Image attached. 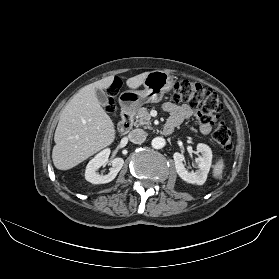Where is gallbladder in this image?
<instances>
[{
	"label": "gallbladder",
	"instance_id": "bac80fb5",
	"mask_svg": "<svg viewBox=\"0 0 279 279\" xmlns=\"http://www.w3.org/2000/svg\"><path fill=\"white\" fill-rule=\"evenodd\" d=\"M96 97L102 106L108 105V96L103 90L96 89Z\"/></svg>",
	"mask_w": 279,
	"mask_h": 279
}]
</instances>
